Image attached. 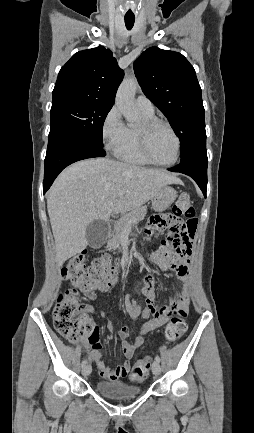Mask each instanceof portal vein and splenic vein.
I'll return each instance as SVG.
<instances>
[{"label":"portal vein and splenic vein","instance_id":"18ae733b","mask_svg":"<svg viewBox=\"0 0 254 433\" xmlns=\"http://www.w3.org/2000/svg\"><path fill=\"white\" fill-rule=\"evenodd\" d=\"M123 194H124V192L121 191V192L118 193L117 196H118V197H121V196H123ZM131 221H132V220H129V222H131Z\"/></svg>","mask_w":254,"mask_h":433}]
</instances>
